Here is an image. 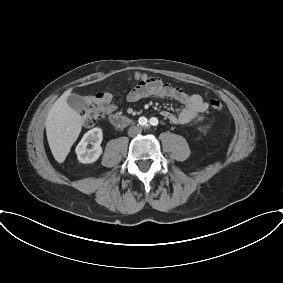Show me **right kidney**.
<instances>
[{
	"label": "right kidney",
	"instance_id": "right-kidney-1",
	"mask_svg": "<svg viewBox=\"0 0 283 283\" xmlns=\"http://www.w3.org/2000/svg\"><path fill=\"white\" fill-rule=\"evenodd\" d=\"M103 140V132L101 128H93L89 130L77 145L75 152L81 163L88 164L98 160L102 154L101 142ZM88 144L92 147L87 148Z\"/></svg>",
	"mask_w": 283,
	"mask_h": 283
}]
</instances>
